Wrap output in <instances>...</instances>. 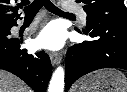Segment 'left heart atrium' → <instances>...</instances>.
I'll return each instance as SVG.
<instances>
[{
	"instance_id": "obj_1",
	"label": "left heart atrium",
	"mask_w": 127,
	"mask_h": 92,
	"mask_svg": "<svg viewBox=\"0 0 127 92\" xmlns=\"http://www.w3.org/2000/svg\"><path fill=\"white\" fill-rule=\"evenodd\" d=\"M65 42V32L57 23H50L38 35L37 44L46 49L58 50Z\"/></svg>"
}]
</instances>
